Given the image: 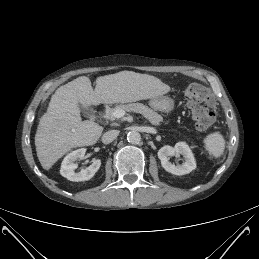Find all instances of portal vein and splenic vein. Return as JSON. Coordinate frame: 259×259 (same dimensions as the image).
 Segmentation results:
<instances>
[{"label": "portal vein and splenic vein", "instance_id": "18ae733b", "mask_svg": "<svg viewBox=\"0 0 259 259\" xmlns=\"http://www.w3.org/2000/svg\"><path fill=\"white\" fill-rule=\"evenodd\" d=\"M125 114H126L125 111L119 110V109H118V110H115V111L112 113L113 117H115V118H121V117H123Z\"/></svg>", "mask_w": 259, "mask_h": 259}]
</instances>
